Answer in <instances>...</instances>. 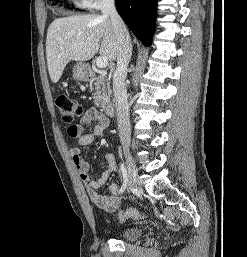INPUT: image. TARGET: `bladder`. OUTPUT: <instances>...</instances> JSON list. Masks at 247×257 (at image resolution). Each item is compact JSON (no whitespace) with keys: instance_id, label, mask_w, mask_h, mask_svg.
<instances>
[{"instance_id":"bladder-1","label":"bladder","mask_w":247,"mask_h":257,"mask_svg":"<svg viewBox=\"0 0 247 257\" xmlns=\"http://www.w3.org/2000/svg\"><path fill=\"white\" fill-rule=\"evenodd\" d=\"M143 233V229L140 227H129L124 228L118 232V237L127 240V241H133L138 239Z\"/></svg>"}]
</instances>
